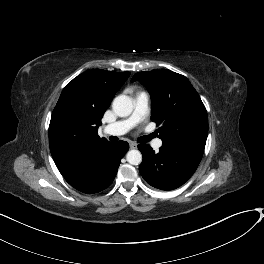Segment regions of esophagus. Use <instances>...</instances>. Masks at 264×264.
Segmentation results:
<instances>
[{
    "label": "esophagus",
    "instance_id": "1",
    "mask_svg": "<svg viewBox=\"0 0 264 264\" xmlns=\"http://www.w3.org/2000/svg\"><path fill=\"white\" fill-rule=\"evenodd\" d=\"M129 145H130V149H136L137 148V144L134 142H131Z\"/></svg>",
    "mask_w": 264,
    "mask_h": 264
}]
</instances>
